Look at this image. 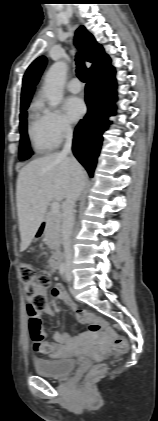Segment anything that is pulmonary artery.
<instances>
[{
  "instance_id": "obj_1",
  "label": "pulmonary artery",
  "mask_w": 158,
  "mask_h": 421,
  "mask_svg": "<svg viewBox=\"0 0 158 421\" xmlns=\"http://www.w3.org/2000/svg\"><path fill=\"white\" fill-rule=\"evenodd\" d=\"M67 89L72 93H78L82 90V84L78 78H72L67 83Z\"/></svg>"
}]
</instances>
